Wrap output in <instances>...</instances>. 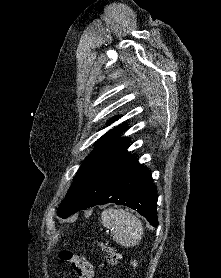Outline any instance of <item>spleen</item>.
<instances>
[{
  "label": "spleen",
  "mask_w": 221,
  "mask_h": 278,
  "mask_svg": "<svg viewBox=\"0 0 221 278\" xmlns=\"http://www.w3.org/2000/svg\"><path fill=\"white\" fill-rule=\"evenodd\" d=\"M101 223L113 233V240L124 247L137 245L143 235L141 221L123 209L108 208L101 214Z\"/></svg>",
  "instance_id": "3e777b00"
}]
</instances>
